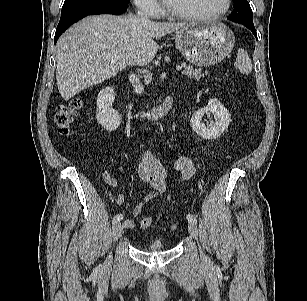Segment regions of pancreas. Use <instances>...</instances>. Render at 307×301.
Listing matches in <instances>:
<instances>
[{
  "mask_svg": "<svg viewBox=\"0 0 307 301\" xmlns=\"http://www.w3.org/2000/svg\"><path fill=\"white\" fill-rule=\"evenodd\" d=\"M182 66L184 67L182 74L187 75L188 77L195 80H199L201 77L207 75V72L202 73L201 69H194L192 66H186L185 63H183ZM145 82L149 83L150 79L147 78Z\"/></svg>",
  "mask_w": 307,
  "mask_h": 301,
  "instance_id": "pancreas-1",
  "label": "pancreas"
}]
</instances>
